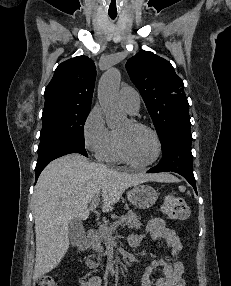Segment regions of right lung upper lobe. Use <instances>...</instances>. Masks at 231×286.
<instances>
[{
    "instance_id": "obj_1",
    "label": "right lung upper lobe",
    "mask_w": 231,
    "mask_h": 286,
    "mask_svg": "<svg viewBox=\"0 0 231 286\" xmlns=\"http://www.w3.org/2000/svg\"><path fill=\"white\" fill-rule=\"evenodd\" d=\"M96 68L86 56H77L61 63L45 90V107L74 105L90 107Z\"/></svg>"
}]
</instances>
